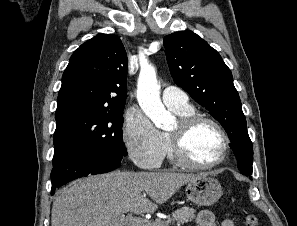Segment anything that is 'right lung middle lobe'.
<instances>
[{
  "instance_id": "obj_1",
  "label": "right lung middle lobe",
  "mask_w": 297,
  "mask_h": 226,
  "mask_svg": "<svg viewBox=\"0 0 297 226\" xmlns=\"http://www.w3.org/2000/svg\"><path fill=\"white\" fill-rule=\"evenodd\" d=\"M123 111L82 112L56 120L55 148L68 145L93 146L127 155L122 140Z\"/></svg>"
}]
</instances>
